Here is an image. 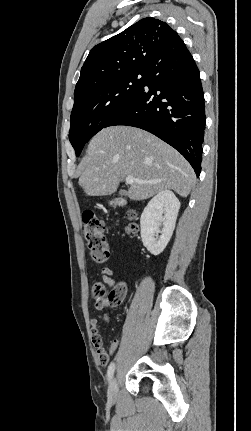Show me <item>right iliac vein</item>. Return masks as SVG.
Wrapping results in <instances>:
<instances>
[{"label":"right iliac vein","instance_id":"obj_1","mask_svg":"<svg viewBox=\"0 0 251 431\" xmlns=\"http://www.w3.org/2000/svg\"><path fill=\"white\" fill-rule=\"evenodd\" d=\"M118 393V381L116 377H113L110 381L108 387V398L110 401H115L117 399Z\"/></svg>","mask_w":251,"mask_h":431}]
</instances>
